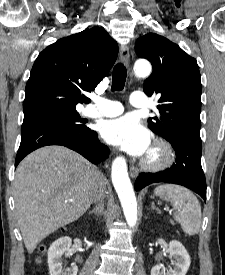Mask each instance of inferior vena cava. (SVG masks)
<instances>
[{"label": "inferior vena cava", "instance_id": "602c4592", "mask_svg": "<svg viewBox=\"0 0 225 275\" xmlns=\"http://www.w3.org/2000/svg\"><path fill=\"white\" fill-rule=\"evenodd\" d=\"M104 191H105L104 177L99 172L97 177H96L93 189H92L93 201L94 202H96V201L101 202L102 199L104 198Z\"/></svg>", "mask_w": 225, "mask_h": 275}]
</instances>
